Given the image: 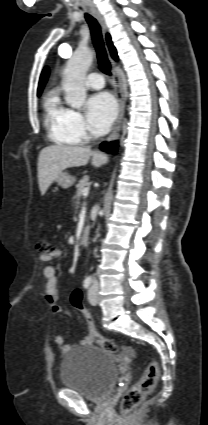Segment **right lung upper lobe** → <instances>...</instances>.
Masks as SVG:
<instances>
[{
	"instance_id": "right-lung-upper-lobe-1",
	"label": "right lung upper lobe",
	"mask_w": 208,
	"mask_h": 425,
	"mask_svg": "<svg viewBox=\"0 0 208 425\" xmlns=\"http://www.w3.org/2000/svg\"><path fill=\"white\" fill-rule=\"evenodd\" d=\"M106 40H107V45H108L110 52H111V56L113 57L114 60H117L118 59L117 52H116V49L111 42V37H110L109 34H107ZM48 75H49V70H48V68H45L42 71V74L40 76L39 87H38V96L41 94V92L43 90V87H44V85L47 81Z\"/></svg>"
}]
</instances>
